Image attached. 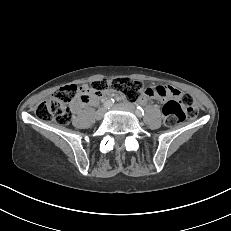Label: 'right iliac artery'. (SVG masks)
<instances>
[{"instance_id": "obj_1", "label": "right iliac artery", "mask_w": 231, "mask_h": 231, "mask_svg": "<svg viewBox=\"0 0 231 231\" xmlns=\"http://www.w3.org/2000/svg\"><path fill=\"white\" fill-rule=\"evenodd\" d=\"M113 103H114V99H110V100H107L105 103H104V107L106 109H109L113 106Z\"/></svg>"}]
</instances>
